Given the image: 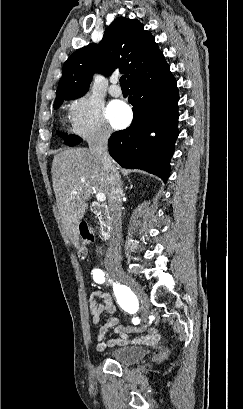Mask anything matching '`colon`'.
Segmentation results:
<instances>
[{
    "mask_svg": "<svg viewBox=\"0 0 243 409\" xmlns=\"http://www.w3.org/2000/svg\"><path fill=\"white\" fill-rule=\"evenodd\" d=\"M80 234L82 236V239L84 241V243H89L91 241H94L95 235L93 233L92 228L87 225V224H81L80 225ZM86 253V249L85 247L82 245L79 249H78V256L80 258H83L85 256Z\"/></svg>",
    "mask_w": 243,
    "mask_h": 409,
    "instance_id": "obj_1",
    "label": "colon"
}]
</instances>
